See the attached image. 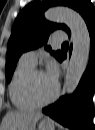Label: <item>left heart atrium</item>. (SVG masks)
<instances>
[{"mask_svg": "<svg viewBox=\"0 0 95 130\" xmlns=\"http://www.w3.org/2000/svg\"><path fill=\"white\" fill-rule=\"evenodd\" d=\"M44 74L51 83L55 85L57 84L58 67H57V64L53 60L48 61Z\"/></svg>", "mask_w": 95, "mask_h": 130, "instance_id": "left-heart-atrium-1", "label": "left heart atrium"}]
</instances>
